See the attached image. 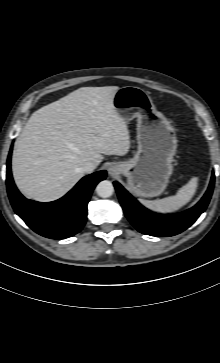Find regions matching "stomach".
Segmentation results:
<instances>
[{"label": "stomach", "instance_id": "stomach-1", "mask_svg": "<svg viewBox=\"0 0 220 363\" xmlns=\"http://www.w3.org/2000/svg\"><path fill=\"white\" fill-rule=\"evenodd\" d=\"M113 105L124 122L137 118L138 149L129 161L113 163L111 171L125 175L128 188L139 197L160 195L173 172L172 161L177 149L174 128L156 110L148 93L139 87L119 88Z\"/></svg>", "mask_w": 220, "mask_h": 363}]
</instances>
